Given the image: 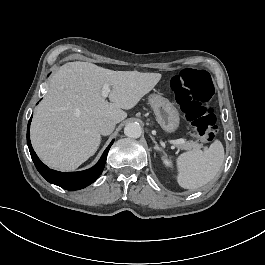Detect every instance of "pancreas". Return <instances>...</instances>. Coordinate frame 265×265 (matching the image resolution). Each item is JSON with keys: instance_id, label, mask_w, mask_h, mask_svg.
Returning <instances> with one entry per match:
<instances>
[{"instance_id": "obj_1", "label": "pancreas", "mask_w": 265, "mask_h": 265, "mask_svg": "<svg viewBox=\"0 0 265 265\" xmlns=\"http://www.w3.org/2000/svg\"><path fill=\"white\" fill-rule=\"evenodd\" d=\"M177 147L190 150V149H200L203 147L202 143H198L197 141L188 140L186 143H177Z\"/></svg>"}]
</instances>
